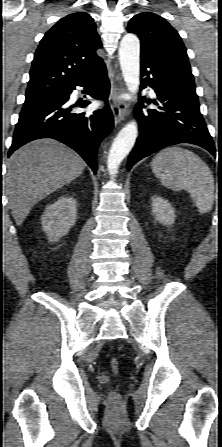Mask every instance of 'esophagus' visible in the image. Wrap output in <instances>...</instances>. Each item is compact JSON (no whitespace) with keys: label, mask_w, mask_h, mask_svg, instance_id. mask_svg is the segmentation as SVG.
<instances>
[{"label":"esophagus","mask_w":222,"mask_h":447,"mask_svg":"<svg viewBox=\"0 0 222 447\" xmlns=\"http://www.w3.org/2000/svg\"><path fill=\"white\" fill-rule=\"evenodd\" d=\"M124 91V88L115 82L111 86L109 105L114 115L115 124L122 122L129 113L128 104L125 101L118 100V96Z\"/></svg>","instance_id":"obj_1"}]
</instances>
